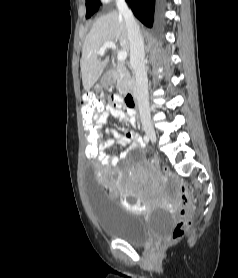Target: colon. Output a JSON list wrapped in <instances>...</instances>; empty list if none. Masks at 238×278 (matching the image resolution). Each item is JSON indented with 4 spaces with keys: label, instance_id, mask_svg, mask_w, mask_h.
<instances>
[{
    "label": "colon",
    "instance_id": "obj_1",
    "mask_svg": "<svg viewBox=\"0 0 238 278\" xmlns=\"http://www.w3.org/2000/svg\"><path fill=\"white\" fill-rule=\"evenodd\" d=\"M105 106V98L97 96L92 92L85 93L81 97V115L80 122L86 125V137L85 141L81 142L83 148V159H98L101 155V149L103 146V125L96 124L94 127V121H96ZM167 174L168 171H166ZM174 188H177L179 192V201L177 203V220L167 235L168 240L177 241L181 239L188 228L190 227V199L189 191L190 186H186L184 183V177H176L175 174L171 175Z\"/></svg>",
    "mask_w": 238,
    "mask_h": 278
}]
</instances>
